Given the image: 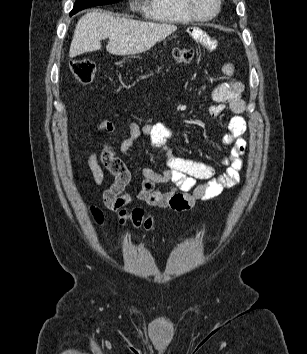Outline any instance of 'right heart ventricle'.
Segmentation results:
<instances>
[{"label":"right heart ventricle","instance_id":"e07e8e85","mask_svg":"<svg viewBox=\"0 0 307 354\" xmlns=\"http://www.w3.org/2000/svg\"><path fill=\"white\" fill-rule=\"evenodd\" d=\"M143 12L147 18L164 23H189L193 20L183 10L181 0H145Z\"/></svg>","mask_w":307,"mask_h":354}]
</instances>
